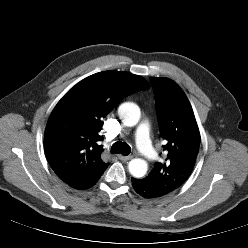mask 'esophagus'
<instances>
[{"label": "esophagus", "mask_w": 248, "mask_h": 248, "mask_svg": "<svg viewBox=\"0 0 248 248\" xmlns=\"http://www.w3.org/2000/svg\"><path fill=\"white\" fill-rule=\"evenodd\" d=\"M118 159H120L122 161H128V160L132 159V156H124V155L119 154Z\"/></svg>", "instance_id": "34e87169"}]
</instances>
